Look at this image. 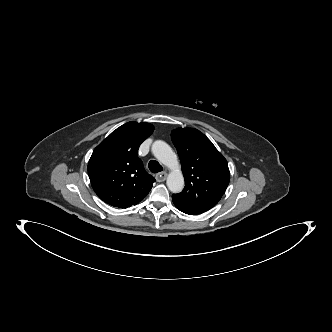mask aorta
I'll return each mask as SVG.
<instances>
[{
	"label": "aorta",
	"instance_id": "aorta-1",
	"mask_svg": "<svg viewBox=\"0 0 332 332\" xmlns=\"http://www.w3.org/2000/svg\"><path fill=\"white\" fill-rule=\"evenodd\" d=\"M152 153L162 164L171 169L167 177V186L172 193H179L184 188V177L179 167L177 155L164 141L157 140L152 144Z\"/></svg>",
	"mask_w": 332,
	"mask_h": 332
}]
</instances>
